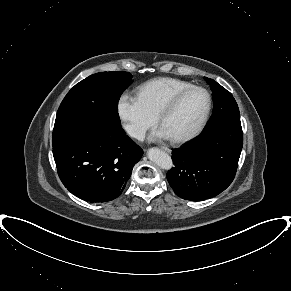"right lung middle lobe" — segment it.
Listing matches in <instances>:
<instances>
[{"label":"right lung middle lobe","instance_id":"1","mask_svg":"<svg viewBox=\"0 0 291 291\" xmlns=\"http://www.w3.org/2000/svg\"><path fill=\"white\" fill-rule=\"evenodd\" d=\"M131 83L129 72L115 71L93 74L76 84L58 109L52 145L84 129L121 127L118 102Z\"/></svg>","mask_w":291,"mask_h":291}]
</instances>
